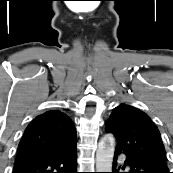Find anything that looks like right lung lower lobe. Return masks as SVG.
Segmentation results:
<instances>
[{"instance_id":"obj_1","label":"right lung lower lobe","mask_w":173,"mask_h":173,"mask_svg":"<svg viewBox=\"0 0 173 173\" xmlns=\"http://www.w3.org/2000/svg\"><path fill=\"white\" fill-rule=\"evenodd\" d=\"M76 169L75 147L61 153L15 162L13 173H77Z\"/></svg>"}]
</instances>
